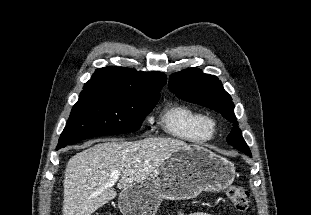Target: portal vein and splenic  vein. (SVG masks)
<instances>
[{"mask_svg":"<svg viewBox=\"0 0 311 215\" xmlns=\"http://www.w3.org/2000/svg\"><path fill=\"white\" fill-rule=\"evenodd\" d=\"M120 175H121V172H120V171H115V172H113V173L111 174V180H112L113 182L117 181V180L119 179Z\"/></svg>","mask_w":311,"mask_h":215,"instance_id":"18ae733b","label":"portal vein and splenic vein"}]
</instances>
